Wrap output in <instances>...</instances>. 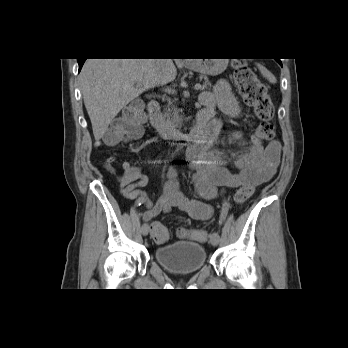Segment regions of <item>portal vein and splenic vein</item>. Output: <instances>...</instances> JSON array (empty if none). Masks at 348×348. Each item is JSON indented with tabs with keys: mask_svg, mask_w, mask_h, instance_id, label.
I'll return each mask as SVG.
<instances>
[{
	"mask_svg": "<svg viewBox=\"0 0 348 348\" xmlns=\"http://www.w3.org/2000/svg\"><path fill=\"white\" fill-rule=\"evenodd\" d=\"M195 90L196 91H199V90H201L202 89V85L201 84H199V83H197L196 85H195Z\"/></svg>",
	"mask_w": 348,
	"mask_h": 348,
	"instance_id": "1",
	"label": "portal vein and splenic vein"
}]
</instances>
